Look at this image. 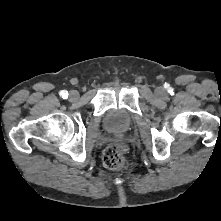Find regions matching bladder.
<instances>
[{"label": "bladder", "mask_w": 221, "mask_h": 221, "mask_svg": "<svg viewBox=\"0 0 221 221\" xmlns=\"http://www.w3.org/2000/svg\"><path fill=\"white\" fill-rule=\"evenodd\" d=\"M103 124L110 132H124L131 126L132 118L126 110L113 108L105 113Z\"/></svg>", "instance_id": "bladder-1"}]
</instances>
